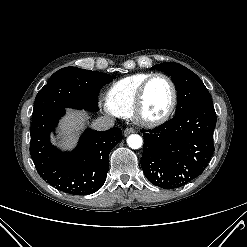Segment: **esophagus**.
Instances as JSON below:
<instances>
[{
    "label": "esophagus",
    "mask_w": 247,
    "mask_h": 247,
    "mask_svg": "<svg viewBox=\"0 0 247 247\" xmlns=\"http://www.w3.org/2000/svg\"><path fill=\"white\" fill-rule=\"evenodd\" d=\"M134 132H135V129H134V128L128 127V128H126V129L124 130V135L127 136V135H129V134H131V133H134Z\"/></svg>",
    "instance_id": "1"
}]
</instances>
